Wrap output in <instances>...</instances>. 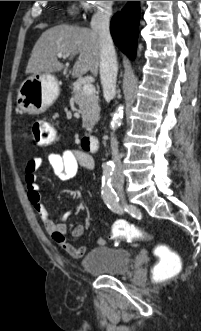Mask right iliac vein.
Listing matches in <instances>:
<instances>
[{
	"label": "right iliac vein",
	"instance_id": "obj_1",
	"mask_svg": "<svg viewBox=\"0 0 201 331\" xmlns=\"http://www.w3.org/2000/svg\"><path fill=\"white\" fill-rule=\"evenodd\" d=\"M113 186L115 189L118 191L119 195L123 199V182L121 180H114L113 181Z\"/></svg>",
	"mask_w": 201,
	"mask_h": 331
}]
</instances>
